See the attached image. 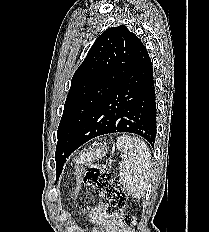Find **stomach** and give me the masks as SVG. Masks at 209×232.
<instances>
[{
	"instance_id": "stomach-1",
	"label": "stomach",
	"mask_w": 209,
	"mask_h": 232,
	"mask_svg": "<svg viewBox=\"0 0 209 232\" xmlns=\"http://www.w3.org/2000/svg\"><path fill=\"white\" fill-rule=\"evenodd\" d=\"M107 151L108 147L104 143L81 152L75 160L76 172L82 173L87 167H93L98 159L106 155Z\"/></svg>"
}]
</instances>
